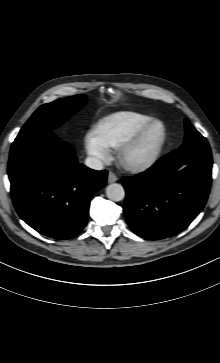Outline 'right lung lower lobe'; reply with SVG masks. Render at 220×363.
I'll use <instances>...</instances> for the list:
<instances>
[{
	"label": "right lung lower lobe",
	"instance_id": "right-lung-lower-lobe-1",
	"mask_svg": "<svg viewBox=\"0 0 220 363\" xmlns=\"http://www.w3.org/2000/svg\"><path fill=\"white\" fill-rule=\"evenodd\" d=\"M8 175L19 216L39 233L70 239L85 227L89 202L107 171L77 162L74 150L50 133L10 151Z\"/></svg>",
	"mask_w": 220,
	"mask_h": 363
}]
</instances>
